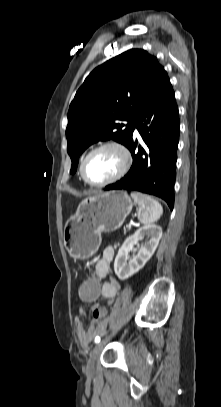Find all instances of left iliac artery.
I'll list each match as a JSON object with an SVG mask.
<instances>
[{"label":"left iliac artery","instance_id":"44dca946","mask_svg":"<svg viewBox=\"0 0 221 407\" xmlns=\"http://www.w3.org/2000/svg\"><path fill=\"white\" fill-rule=\"evenodd\" d=\"M95 342H96V343L100 342V337H96V338H95Z\"/></svg>","mask_w":221,"mask_h":407}]
</instances>
